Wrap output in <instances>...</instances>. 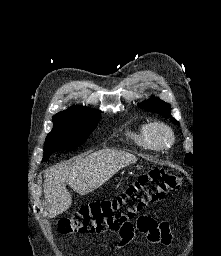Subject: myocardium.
Masks as SVG:
<instances>
[{
    "label": "myocardium",
    "mask_w": 221,
    "mask_h": 256,
    "mask_svg": "<svg viewBox=\"0 0 221 256\" xmlns=\"http://www.w3.org/2000/svg\"><path fill=\"white\" fill-rule=\"evenodd\" d=\"M165 134L167 140L163 141L161 135ZM149 136L157 149H166L174 142V132L172 128L164 122L155 121L149 125Z\"/></svg>",
    "instance_id": "obj_1"
}]
</instances>
